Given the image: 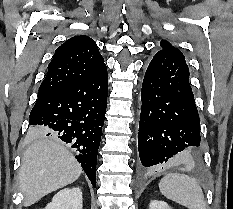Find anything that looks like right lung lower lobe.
Returning <instances> with one entry per match:
<instances>
[{
    "label": "right lung lower lobe",
    "mask_w": 233,
    "mask_h": 209,
    "mask_svg": "<svg viewBox=\"0 0 233 209\" xmlns=\"http://www.w3.org/2000/svg\"><path fill=\"white\" fill-rule=\"evenodd\" d=\"M108 93L106 65L92 76L56 92L39 97L29 124L58 135L74 149L93 187L96 160L104 125Z\"/></svg>",
    "instance_id": "1"
}]
</instances>
